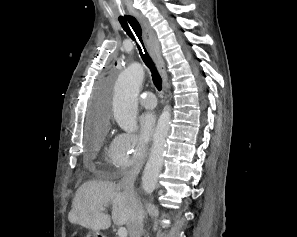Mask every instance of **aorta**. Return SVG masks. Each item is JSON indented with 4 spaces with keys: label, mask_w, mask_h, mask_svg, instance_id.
<instances>
[{
    "label": "aorta",
    "mask_w": 297,
    "mask_h": 237,
    "mask_svg": "<svg viewBox=\"0 0 297 237\" xmlns=\"http://www.w3.org/2000/svg\"><path fill=\"white\" fill-rule=\"evenodd\" d=\"M145 76L144 67L133 63L117 78L113 96V113L119 127L128 133L138 130V94ZM171 124V111L165 109L154 134L153 146L142 176V188L146 194H151L158 183L163 166L166 140Z\"/></svg>",
    "instance_id": "aorta-1"
}]
</instances>
